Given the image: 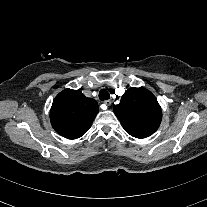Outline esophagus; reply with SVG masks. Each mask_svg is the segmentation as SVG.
<instances>
[{
	"instance_id": "esophagus-1",
	"label": "esophagus",
	"mask_w": 207,
	"mask_h": 207,
	"mask_svg": "<svg viewBox=\"0 0 207 207\" xmlns=\"http://www.w3.org/2000/svg\"><path fill=\"white\" fill-rule=\"evenodd\" d=\"M104 104L107 105V106H110L111 105V101L110 100H105Z\"/></svg>"
}]
</instances>
